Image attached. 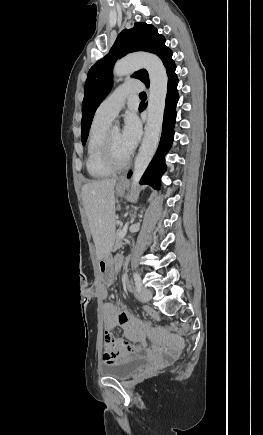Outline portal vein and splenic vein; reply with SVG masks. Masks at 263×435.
Instances as JSON below:
<instances>
[{
  "instance_id": "1",
  "label": "portal vein and splenic vein",
  "mask_w": 263,
  "mask_h": 435,
  "mask_svg": "<svg viewBox=\"0 0 263 435\" xmlns=\"http://www.w3.org/2000/svg\"><path fill=\"white\" fill-rule=\"evenodd\" d=\"M128 226H129V222H127V223L124 225V227L120 230V232L118 233V236H119L120 238H122V237H124V236L126 235L127 230H128Z\"/></svg>"
}]
</instances>
